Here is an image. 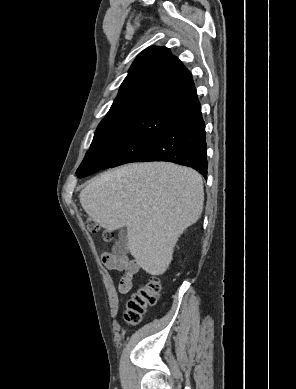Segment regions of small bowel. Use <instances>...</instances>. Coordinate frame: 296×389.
<instances>
[{"mask_svg":"<svg viewBox=\"0 0 296 389\" xmlns=\"http://www.w3.org/2000/svg\"><path fill=\"white\" fill-rule=\"evenodd\" d=\"M107 258H111L112 263H109ZM103 262L108 269L124 271L118 289L123 294L129 292L134 285L135 276L139 272V262L134 259H129L126 254L115 256L111 253L104 254Z\"/></svg>","mask_w":296,"mask_h":389,"instance_id":"c3829d8e","label":"small bowel"}]
</instances>
